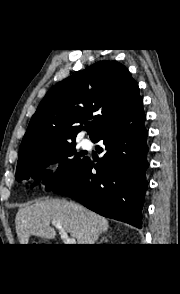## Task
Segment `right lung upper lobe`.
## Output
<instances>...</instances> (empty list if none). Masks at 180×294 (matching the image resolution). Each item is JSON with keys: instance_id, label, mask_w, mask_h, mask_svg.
<instances>
[{"instance_id": "1", "label": "right lung upper lobe", "mask_w": 180, "mask_h": 294, "mask_svg": "<svg viewBox=\"0 0 180 294\" xmlns=\"http://www.w3.org/2000/svg\"><path fill=\"white\" fill-rule=\"evenodd\" d=\"M139 100L138 84L122 64L104 60L91 65L48 91L28 125L18 162L41 149L75 142L90 119L93 140Z\"/></svg>"}]
</instances>
